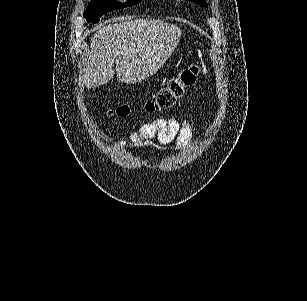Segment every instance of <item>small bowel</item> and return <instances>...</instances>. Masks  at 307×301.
<instances>
[{
  "label": "small bowel",
  "mask_w": 307,
  "mask_h": 301,
  "mask_svg": "<svg viewBox=\"0 0 307 301\" xmlns=\"http://www.w3.org/2000/svg\"><path fill=\"white\" fill-rule=\"evenodd\" d=\"M193 128L189 121L176 118H161L144 123L129 134V141L135 146H142L145 141L156 139L161 144L176 142L180 150L189 147L193 137ZM121 144L126 145V141Z\"/></svg>",
  "instance_id": "c3829d8e"
}]
</instances>
